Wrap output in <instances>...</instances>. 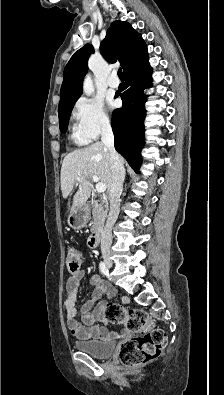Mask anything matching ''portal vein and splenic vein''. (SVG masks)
Returning <instances> with one entry per match:
<instances>
[{
	"mask_svg": "<svg viewBox=\"0 0 224 395\" xmlns=\"http://www.w3.org/2000/svg\"><path fill=\"white\" fill-rule=\"evenodd\" d=\"M92 179H93L94 182L97 183V184H96V190H97V192H98V193H104V192L106 191V185H105L104 183H100V182H99V178H98L97 175H93V176H92ZM76 180L79 182V181L81 180V178H80V177H77Z\"/></svg>",
	"mask_w": 224,
	"mask_h": 395,
	"instance_id": "1",
	"label": "portal vein and splenic vein"
}]
</instances>
